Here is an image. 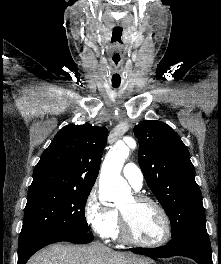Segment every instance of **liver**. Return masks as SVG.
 <instances>
[{
  "label": "liver",
  "instance_id": "6515ba94",
  "mask_svg": "<svg viewBox=\"0 0 221 264\" xmlns=\"http://www.w3.org/2000/svg\"><path fill=\"white\" fill-rule=\"evenodd\" d=\"M132 253L116 252L101 244L51 245L35 254L27 264H150Z\"/></svg>",
  "mask_w": 221,
  "mask_h": 264
}]
</instances>
